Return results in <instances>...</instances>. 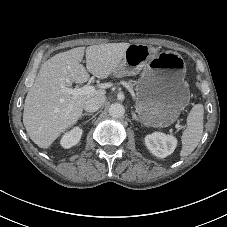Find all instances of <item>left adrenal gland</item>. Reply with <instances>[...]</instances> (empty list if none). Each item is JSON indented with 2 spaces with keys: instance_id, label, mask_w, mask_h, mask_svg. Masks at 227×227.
<instances>
[{
  "instance_id": "left-adrenal-gland-1",
  "label": "left adrenal gland",
  "mask_w": 227,
  "mask_h": 227,
  "mask_svg": "<svg viewBox=\"0 0 227 227\" xmlns=\"http://www.w3.org/2000/svg\"><path fill=\"white\" fill-rule=\"evenodd\" d=\"M132 119L135 121H139V119L134 111H132Z\"/></svg>"
}]
</instances>
